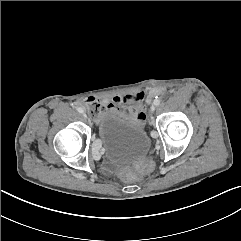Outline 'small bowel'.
<instances>
[{
  "mask_svg": "<svg viewBox=\"0 0 241 241\" xmlns=\"http://www.w3.org/2000/svg\"><path fill=\"white\" fill-rule=\"evenodd\" d=\"M105 103L109 108L119 110L130 120L145 123L150 118L149 113L141 109L147 104L146 93L143 90L115 96L111 100H106Z\"/></svg>",
  "mask_w": 241,
  "mask_h": 241,
  "instance_id": "small-bowel-1",
  "label": "small bowel"
}]
</instances>
